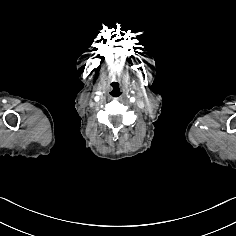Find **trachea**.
<instances>
[{
    "label": "trachea",
    "mask_w": 236,
    "mask_h": 236,
    "mask_svg": "<svg viewBox=\"0 0 236 236\" xmlns=\"http://www.w3.org/2000/svg\"><path fill=\"white\" fill-rule=\"evenodd\" d=\"M110 92L109 95L111 98L116 99L122 96L123 94V90L122 88L119 86V84L117 82H112L110 84Z\"/></svg>",
    "instance_id": "trachea-1"
}]
</instances>
